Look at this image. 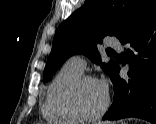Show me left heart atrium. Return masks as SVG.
I'll use <instances>...</instances> for the list:
<instances>
[{
  "mask_svg": "<svg viewBox=\"0 0 156 124\" xmlns=\"http://www.w3.org/2000/svg\"><path fill=\"white\" fill-rule=\"evenodd\" d=\"M99 86L101 87V89L107 93L108 92V85H107V82L103 79V80H99L97 81Z\"/></svg>",
  "mask_w": 156,
  "mask_h": 124,
  "instance_id": "1",
  "label": "left heart atrium"
}]
</instances>
